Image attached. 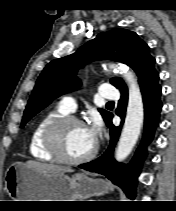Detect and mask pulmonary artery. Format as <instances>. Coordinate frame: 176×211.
Returning <instances> with one entry per match:
<instances>
[{"label": "pulmonary artery", "instance_id": "e3ab8cb5", "mask_svg": "<svg viewBox=\"0 0 176 211\" xmlns=\"http://www.w3.org/2000/svg\"><path fill=\"white\" fill-rule=\"evenodd\" d=\"M99 96L108 100H116L119 92L110 84H103L99 89ZM60 107L66 112H72L76 108V101L71 96L64 97L60 102Z\"/></svg>", "mask_w": 176, "mask_h": 211}]
</instances>
